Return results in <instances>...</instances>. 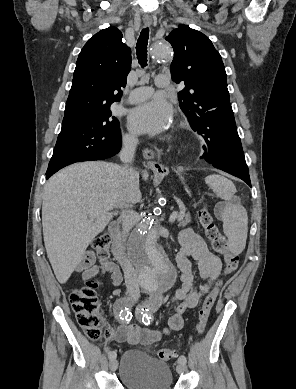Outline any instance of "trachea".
I'll list each match as a JSON object with an SVG mask.
<instances>
[{
	"instance_id": "obj_1",
	"label": "trachea",
	"mask_w": 296,
	"mask_h": 389,
	"mask_svg": "<svg viewBox=\"0 0 296 389\" xmlns=\"http://www.w3.org/2000/svg\"><path fill=\"white\" fill-rule=\"evenodd\" d=\"M149 39V28H145L141 31L140 36L137 40L136 55L139 64L142 67L147 66V45Z\"/></svg>"
}]
</instances>
